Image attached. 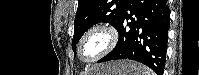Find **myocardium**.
Masks as SVG:
<instances>
[{
	"label": "myocardium",
	"instance_id": "obj_1",
	"mask_svg": "<svg viewBox=\"0 0 199 75\" xmlns=\"http://www.w3.org/2000/svg\"><path fill=\"white\" fill-rule=\"evenodd\" d=\"M93 35L102 36L105 40L104 46L102 50L93 58L89 60H84L81 53L82 45L89 37ZM117 43H118V32L116 28L112 24L107 23V22L97 23L93 25L92 27H90L79 40V43L77 46L78 59L86 64L95 63L99 61L100 59H102L107 54H109L116 47Z\"/></svg>",
	"mask_w": 199,
	"mask_h": 75
}]
</instances>
